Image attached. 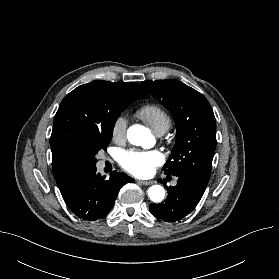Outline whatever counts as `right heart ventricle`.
<instances>
[{
  "instance_id": "e07e8e85",
  "label": "right heart ventricle",
  "mask_w": 279,
  "mask_h": 279,
  "mask_svg": "<svg viewBox=\"0 0 279 279\" xmlns=\"http://www.w3.org/2000/svg\"><path fill=\"white\" fill-rule=\"evenodd\" d=\"M136 115L142 119L155 132H165L171 126L169 114L157 104H146L141 106Z\"/></svg>"
}]
</instances>
